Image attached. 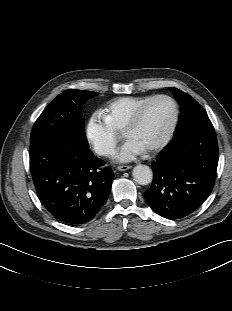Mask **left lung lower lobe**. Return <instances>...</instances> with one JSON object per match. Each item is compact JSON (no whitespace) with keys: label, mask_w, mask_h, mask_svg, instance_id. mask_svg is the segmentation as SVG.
<instances>
[{"label":"left lung lower lobe","mask_w":232,"mask_h":311,"mask_svg":"<svg viewBox=\"0 0 232 311\" xmlns=\"http://www.w3.org/2000/svg\"><path fill=\"white\" fill-rule=\"evenodd\" d=\"M218 156L209 118L176 131L173 140L152 162L154 179L145 192L150 207L172 220L191 214L214 187Z\"/></svg>","instance_id":"obj_1"}]
</instances>
